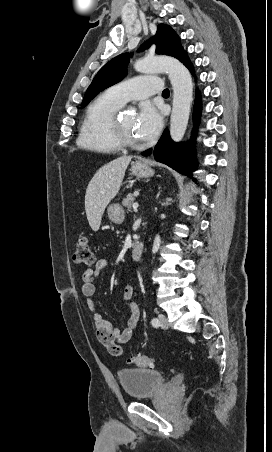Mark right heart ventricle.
Wrapping results in <instances>:
<instances>
[{
  "label": "right heart ventricle",
  "instance_id": "right-heart-ventricle-1",
  "mask_svg": "<svg viewBox=\"0 0 272 452\" xmlns=\"http://www.w3.org/2000/svg\"><path fill=\"white\" fill-rule=\"evenodd\" d=\"M122 105L108 91L97 96L86 110L77 145L84 150L103 154L117 151L120 147L109 134V124Z\"/></svg>",
  "mask_w": 272,
  "mask_h": 452
}]
</instances>
